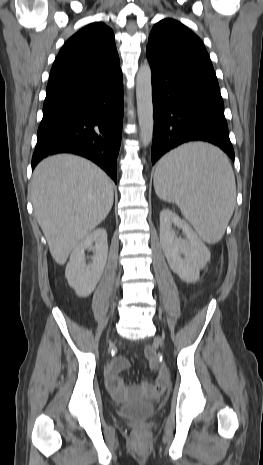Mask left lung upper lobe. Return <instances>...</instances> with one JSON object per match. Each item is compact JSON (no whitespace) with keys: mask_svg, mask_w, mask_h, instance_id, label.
<instances>
[{"mask_svg":"<svg viewBox=\"0 0 263 465\" xmlns=\"http://www.w3.org/2000/svg\"><path fill=\"white\" fill-rule=\"evenodd\" d=\"M146 51L175 62L205 64L212 67L202 41L191 30L173 19H163L152 29Z\"/></svg>","mask_w":263,"mask_h":465,"instance_id":"1","label":"left lung upper lobe"}]
</instances>
